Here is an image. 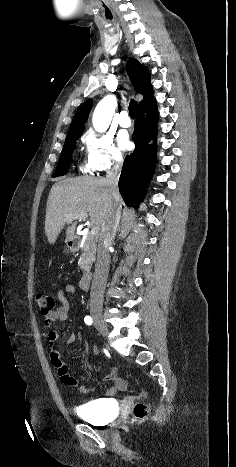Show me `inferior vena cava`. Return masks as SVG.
<instances>
[{"mask_svg":"<svg viewBox=\"0 0 236 467\" xmlns=\"http://www.w3.org/2000/svg\"><path fill=\"white\" fill-rule=\"evenodd\" d=\"M120 172L121 169L119 164L113 165L106 172V182L115 200L119 198L118 180ZM120 215L121 207L117 204H113L99 234L97 260L90 292L91 307H102L103 305V294L108 278L110 263L109 247L112 245L115 238L120 221Z\"/></svg>","mask_w":236,"mask_h":467,"instance_id":"1","label":"inferior vena cava"}]
</instances>
